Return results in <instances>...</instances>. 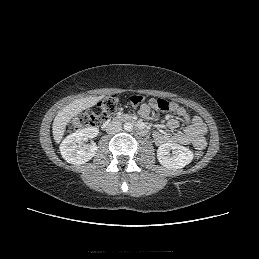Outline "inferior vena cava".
Returning <instances> with one entry per match:
<instances>
[{"label": "inferior vena cava", "mask_w": 259, "mask_h": 259, "mask_svg": "<svg viewBox=\"0 0 259 259\" xmlns=\"http://www.w3.org/2000/svg\"><path fill=\"white\" fill-rule=\"evenodd\" d=\"M122 130V124L119 121H112L106 127L108 134H116Z\"/></svg>", "instance_id": "1"}]
</instances>
